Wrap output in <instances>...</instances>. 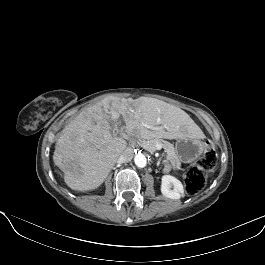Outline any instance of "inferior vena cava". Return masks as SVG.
<instances>
[{"instance_id":"obj_1","label":"inferior vena cava","mask_w":265,"mask_h":265,"mask_svg":"<svg viewBox=\"0 0 265 265\" xmlns=\"http://www.w3.org/2000/svg\"><path fill=\"white\" fill-rule=\"evenodd\" d=\"M133 158V150L130 148H127L123 151V153L118 158L119 162H127L130 161Z\"/></svg>"}]
</instances>
